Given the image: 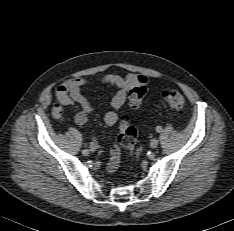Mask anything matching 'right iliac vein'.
I'll use <instances>...</instances> for the list:
<instances>
[{
  "instance_id": "63e3f726",
  "label": "right iliac vein",
  "mask_w": 234,
  "mask_h": 231,
  "mask_svg": "<svg viewBox=\"0 0 234 231\" xmlns=\"http://www.w3.org/2000/svg\"><path fill=\"white\" fill-rule=\"evenodd\" d=\"M82 154H83L84 156H87V155L89 154V150H88V149L83 150V151H82Z\"/></svg>"
}]
</instances>
